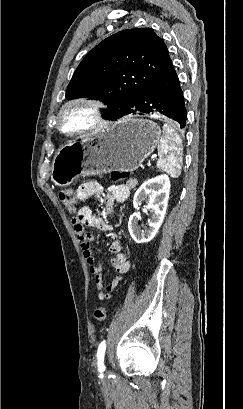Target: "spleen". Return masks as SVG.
<instances>
[{
  "label": "spleen",
  "mask_w": 243,
  "mask_h": 409,
  "mask_svg": "<svg viewBox=\"0 0 243 409\" xmlns=\"http://www.w3.org/2000/svg\"><path fill=\"white\" fill-rule=\"evenodd\" d=\"M162 131L163 134L158 144L157 167L171 177L177 178L182 169V139L168 124L163 125Z\"/></svg>",
  "instance_id": "spleen-1"
}]
</instances>
